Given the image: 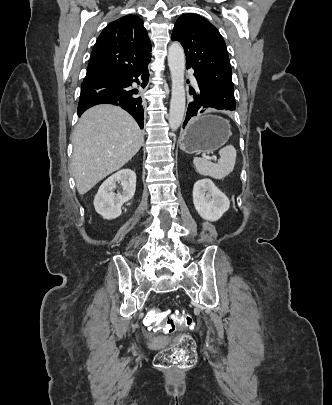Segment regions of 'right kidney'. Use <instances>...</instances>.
I'll use <instances>...</instances> for the list:
<instances>
[{"mask_svg": "<svg viewBox=\"0 0 332 405\" xmlns=\"http://www.w3.org/2000/svg\"><path fill=\"white\" fill-rule=\"evenodd\" d=\"M120 182L122 192L115 194L113 190ZM136 190V174L130 169H123L110 176L99 187L94 198V208L104 219L111 220L121 215L122 205L131 200Z\"/></svg>", "mask_w": 332, "mask_h": 405, "instance_id": "ca27d5eb", "label": "right kidney"}]
</instances>
